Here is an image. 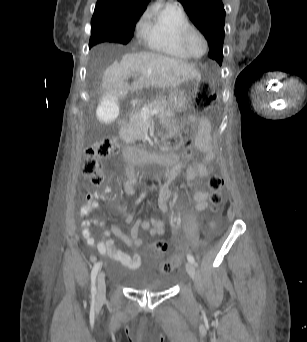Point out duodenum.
Returning <instances> with one entry per match:
<instances>
[{
  "mask_svg": "<svg viewBox=\"0 0 307 342\" xmlns=\"http://www.w3.org/2000/svg\"><path fill=\"white\" fill-rule=\"evenodd\" d=\"M119 123L122 128H125L128 123L127 117H120ZM123 158L132 165L145 168L150 163H160L162 165L174 167V160L171 154L157 155L153 151L143 150L132 146H125L122 151Z\"/></svg>",
  "mask_w": 307,
  "mask_h": 342,
  "instance_id": "duodenum-1",
  "label": "duodenum"
}]
</instances>
